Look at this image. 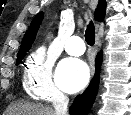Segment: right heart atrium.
Instances as JSON below:
<instances>
[{
  "label": "right heart atrium",
  "instance_id": "d8ad5b80",
  "mask_svg": "<svg viewBox=\"0 0 131 115\" xmlns=\"http://www.w3.org/2000/svg\"><path fill=\"white\" fill-rule=\"evenodd\" d=\"M54 57L45 48H39L27 58L23 84L27 93L36 100L51 102L65 97L53 80Z\"/></svg>",
  "mask_w": 131,
  "mask_h": 115
}]
</instances>
